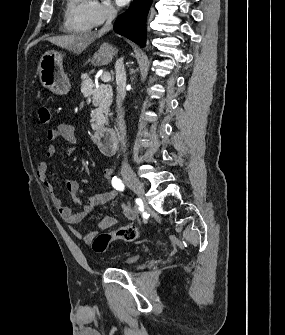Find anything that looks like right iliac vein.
<instances>
[{
	"instance_id": "obj_1",
	"label": "right iliac vein",
	"mask_w": 285,
	"mask_h": 335,
	"mask_svg": "<svg viewBox=\"0 0 285 335\" xmlns=\"http://www.w3.org/2000/svg\"><path fill=\"white\" fill-rule=\"evenodd\" d=\"M122 175L125 180L126 185L134 191L143 201H145V191L140 180L135 176L132 170L124 168L122 170ZM145 209H148V206L145 205Z\"/></svg>"
}]
</instances>
